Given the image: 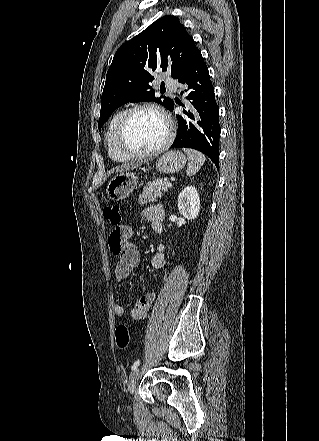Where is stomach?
Wrapping results in <instances>:
<instances>
[{"label":"stomach","mask_w":319,"mask_h":441,"mask_svg":"<svg viewBox=\"0 0 319 441\" xmlns=\"http://www.w3.org/2000/svg\"><path fill=\"white\" fill-rule=\"evenodd\" d=\"M186 164V157L179 151H169L162 155L156 162V168L160 172L175 173L180 171ZM138 178L135 173L123 171L116 174L106 188L107 197L118 201L128 197L137 188Z\"/></svg>","instance_id":"stomach-1"}]
</instances>
